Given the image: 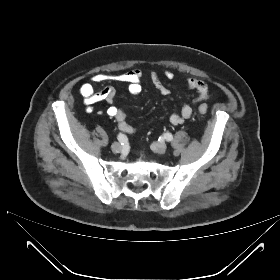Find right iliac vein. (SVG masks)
Returning <instances> with one entry per match:
<instances>
[{"label":"right iliac vein","instance_id":"right-iliac-vein-1","mask_svg":"<svg viewBox=\"0 0 280 280\" xmlns=\"http://www.w3.org/2000/svg\"><path fill=\"white\" fill-rule=\"evenodd\" d=\"M111 149L114 153H120L122 150V146L119 143H113Z\"/></svg>","mask_w":280,"mask_h":280}]
</instances>
